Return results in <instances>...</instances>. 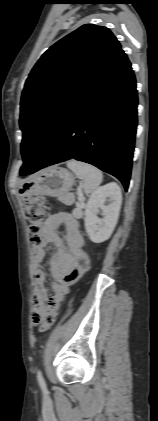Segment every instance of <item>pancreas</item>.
Instances as JSON below:
<instances>
[{
    "mask_svg": "<svg viewBox=\"0 0 158 421\" xmlns=\"http://www.w3.org/2000/svg\"><path fill=\"white\" fill-rule=\"evenodd\" d=\"M60 200L62 202H64L65 204L71 205L74 202V196L73 195H68L65 197L60 198ZM78 205L82 206L84 204V201L81 200L79 202H77Z\"/></svg>",
    "mask_w": 158,
    "mask_h": 421,
    "instance_id": "cf45deb5",
    "label": "pancreas"
}]
</instances>
